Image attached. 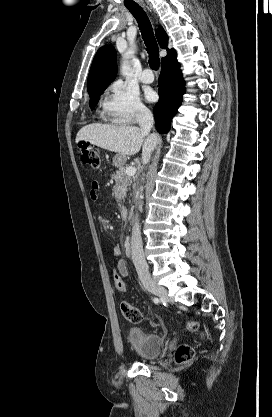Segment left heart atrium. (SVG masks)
<instances>
[{
  "label": "left heart atrium",
  "instance_id": "obj_1",
  "mask_svg": "<svg viewBox=\"0 0 272 417\" xmlns=\"http://www.w3.org/2000/svg\"><path fill=\"white\" fill-rule=\"evenodd\" d=\"M146 97H147V99H148L149 101H155V99L157 98V95H156V93H155L154 91H152V90H148V91L146 92Z\"/></svg>",
  "mask_w": 272,
  "mask_h": 417
}]
</instances>
